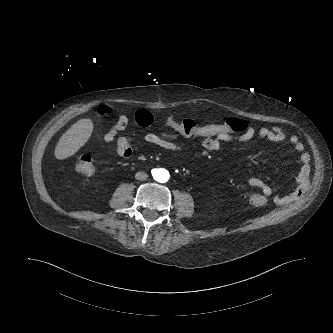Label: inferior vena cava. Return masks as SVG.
Listing matches in <instances>:
<instances>
[{
    "label": "inferior vena cava",
    "mask_w": 333,
    "mask_h": 333,
    "mask_svg": "<svg viewBox=\"0 0 333 333\" xmlns=\"http://www.w3.org/2000/svg\"><path fill=\"white\" fill-rule=\"evenodd\" d=\"M135 178L137 179V180H146L147 178H148V174L147 173H145V172H137L136 174H135Z\"/></svg>",
    "instance_id": "602c4592"
}]
</instances>
